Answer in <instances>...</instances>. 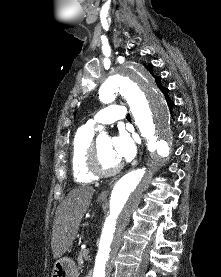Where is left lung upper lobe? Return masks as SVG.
I'll return each instance as SVG.
<instances>
[{
    "label": "left lung upper lobe",
    "mask_w": 221,
    "mask_h": 277,
    "mask_svg": "<svg viewBox=\"0 0 221 277\" xmlns=\"http://www.w3.org/2000/svg\"><path fill=\"white\" fill-rule=\"evenodd\" d=\"M146 68L150 71V72H152V65L151 64H149L148 66H146ZM156 83L158 84V86H159V88L162 90V89H164V87L161 85V78L160 77H156Z\"/></svg>",
    "instance_id": "5c2ea615"
}]
</instances>
